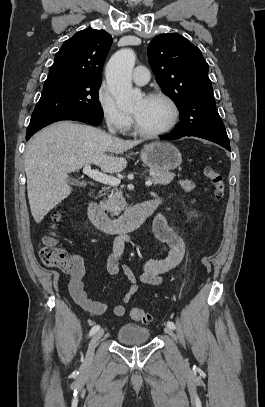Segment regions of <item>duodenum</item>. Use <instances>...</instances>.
Returning <instances> with one entry per match:
<instances>
[{
	"label": "duodenum",
	"instance_id": "obj_1",
	"mask_svg": "<svg viewBox=\"0 0 265 407\" xmlns=\"http://www.w3.org/2000/svg\"><path fill=\"white\" fill-rule=\"evenodd\" d=\"M161 201L151 199L128 209L117 219L110 218L105 211L93 200L88 204V216L91 222L101 231L108 234H122L138 228L160 206Z\"/></svg>",
	"mask_w": 265,
	"mask_h": 407
}]
</instances>
